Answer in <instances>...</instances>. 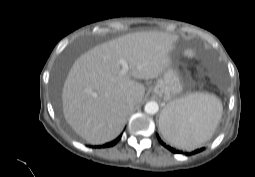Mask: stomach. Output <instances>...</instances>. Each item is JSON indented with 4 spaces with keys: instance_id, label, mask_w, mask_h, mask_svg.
Listing matches in <instances>:
<instances>
[{
    "instance_id": "0dacf381",
    "label": "stomach",
    "mask_w": 255,
    "mask_h": 177,
    "mask_svg": "<svg viewBox=\"0 0 255 177\" xmlns=\"http://www.w3.org/2000/svg\"><path fill=\"white\" fill-rule=\"evenodd\" d=\"M182 92L183 84L180 80L177 70L171 67L167 68L158 78L153 87V94L169 102L163 110L162 114L167 113L169 104L177 100L182 95ZM162 120L163 119L160 117L159 126L162 125Z\"/></svg>"
}]
</instances>
